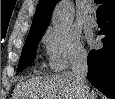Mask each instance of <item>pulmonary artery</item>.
<instances>
[{"mask_svg":"<svg viewBox=\"0 0 115 99\" xmlns=\"http://www.w3.org/2000/svg\"><path fill=\"white\" fill-rule=\"evenodd\" d=\"M87 22L89 25L91 26H95L97 24V19L94 15H89L88 18H87Z\"/></svg>","mask_w":115,"mask_h":99,"instance_id":"pulmonary-artery-1","label":"pulmonary artery"}]
</instances>
